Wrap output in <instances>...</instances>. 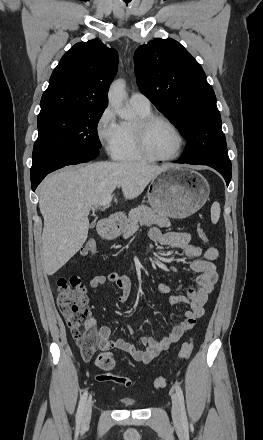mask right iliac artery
Returning a JSON list of instances; mask_svg holds the SVG:
<instances>
[{"label": "right iliac artery", "mask_w": 263, "mask_h": 440, "mask_svg": "<svg viewBox=\"0 0 263 440\" xmlns=\"http://www.w3.org/2000/svg\"><path fill=\"white\" fill-rule=\"evenodd\" d=\"M87 396H88V392L87 390L83 393V395L81 396L79 405H78V410H77V414H76V422L77 424L81 423L82 420V416H83V411H84V407H85V403L87 400Z\"/></svg>", "instance_id": "82829eb1"}]
</instances>
